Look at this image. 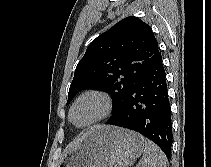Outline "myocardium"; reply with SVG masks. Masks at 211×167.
I'll list each match as a JSON object with an SVG mask.
<instances>
[{
  "instance_id": "1",
  "label": "myocardium",
  "mask_w": 211,
  "mask_h": 167,
  "mask_svg": "<svg viewBox=\"0 0 211 167\" xmlns=\"http://www.w3.org/2000/svg\"><path fill=\"white\" fill-rule=\"evenodd\" d=\"M90 97H93V98H96L98 99L100 102H101V105H102V111L101 113L95 117L93 120L83 124V125H78L76 124L73 119H72V113H73V110L74 108L76 107V105L81 102L82 100L86 99V98H90ZM111 109H112V102H111V98L110 96L102 91V90H99V89H89V90H86L84 91L83 93H81L74 101L73 103L71 104L70 106V109H69V113H68V117H69V120L70 122L77 128H87V127H90L102 120H104L105 118H107V116L110 114L111 112Z\"/></svg>"
}]
</instances>
